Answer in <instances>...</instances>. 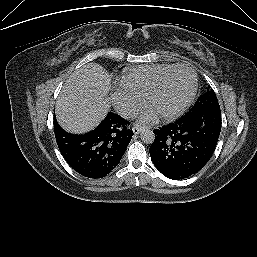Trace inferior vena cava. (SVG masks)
I'll list each match as a JSON object with an SVG mask.
<instances>
[{
  "mask_svg": "<svg viewBox=\"0 0 257 257\" xmlns=\"http://www.w3.org/2000/svg\"><path fill=\"white\" fill-rule=\"evenodd\" d=\"M120 114L126 119H135L138 114V110L132 107H125L120 111Z\"/></svg>",
  "mask_w": 257,
  "mask_h": 257,
  "instance_id": "inferior-vena-cava-1",
  "label": "inferior vena cava"
}]
</instances>
